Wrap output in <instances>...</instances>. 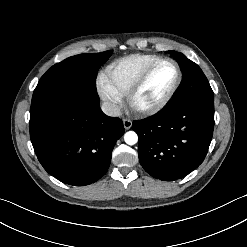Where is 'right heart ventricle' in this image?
<instances>
[{"label": "right heart ventricle", "mask_w": 247, "mask_h": 247, "mask_svg": "<svg viewBox=\"0 0 247 247\" xmlns=\"http://www.w3.org/2000/svg\"><path fill=\"white\" fill-rule=\"evenodd\" d=\"M160 56L155 54H131L118 59L106 69V76L112 86L124 96L142 72Z\"/></svg>", "instance_id": "right-heart-ventricle-1"}]
</instances>
